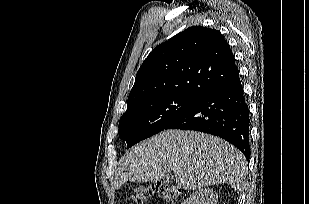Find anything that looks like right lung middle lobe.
<instances>
[{
	"label": "right lung middle lobe",
	"mask_w": 309,
	"mask_h": 204,
	"mask_svg": "<svg viewBox=\"0 0 309 204\" xmlns=\"http://www.w3.org/2000/svg\"><path fill=\"white\" fill-rule=\"evenodd\" d=\"M198 97L167 95L153 97L127 105L119 122V137L127 147L166 129L190 109Z\"/></svg>",
	"instance_id": "1"
}]
</instances>
